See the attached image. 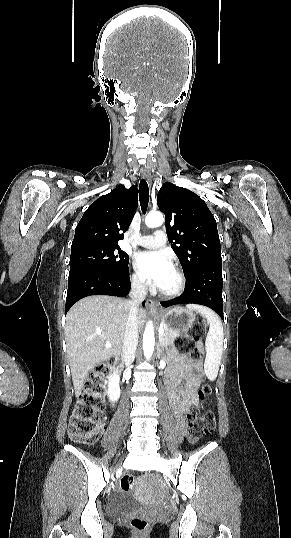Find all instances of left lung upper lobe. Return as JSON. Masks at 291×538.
Returning <instances> with one entry per match:
<instances>
[{"instance_id": "left-lung-upper-lobe-1", "label": "left lung upper lobe", "mask_w": 291, "mask_h": 538, "mask_svg": "<svg viewBox=\"0 0 291 538\" xmlns=\"http://www.w3.org/2000/svg\"><path fill=\"white\" fill-rule=\"evenodd\" d=\"M157 204L165 214L168 240L187 277L200 267L222 263L216 221L198 195L167 182L157 195Z\"/></svg>"}]
</instances>
